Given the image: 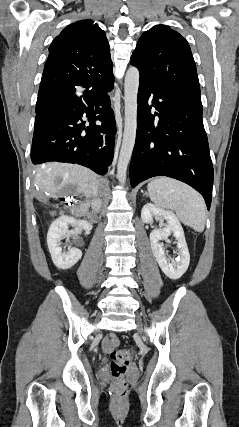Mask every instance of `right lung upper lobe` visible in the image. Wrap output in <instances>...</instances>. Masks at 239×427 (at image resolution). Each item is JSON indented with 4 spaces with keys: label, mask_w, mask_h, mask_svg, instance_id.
I'll list each match as a JSON object with an SVG mask.
<instances>
[{
    "label": "right lung upper lobe",
    "mask_w": 239,
    "mask_h": 427,
    "mask_svg": "<svg viewBox=\"0 0 239 427\" xmlns=\"http://www.w3.org/2000/svg\"><path fill=\"white\" fill-rule=\"evenodd\" d=\"M110 47L92 20L67 26L51 43L38 99L66 87H90L113 75Z\"/></svg>",
    "instance_id": "cb5924a9"
}]
</instances>
